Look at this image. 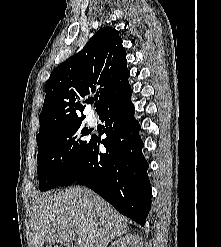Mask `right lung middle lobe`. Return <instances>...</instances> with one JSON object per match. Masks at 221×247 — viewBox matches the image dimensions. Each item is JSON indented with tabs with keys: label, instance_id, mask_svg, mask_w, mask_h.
I'll use <instances>...</instances> for the list:
<instances>
[{
	"label": "right lung middle lobe",
	"instance_id": "1",
	"mask_svg": "<svg viewBox=\"0 0 221 247\" xmlns=\"http://www.w3.org/2000/svg\"><path fill=\"white\" fill-rule=\"evenodd\" d=\"M82 121L66 124L38 137L39 189L47 191L61 184L76 162L83 156L90 139Z\"/></svg>",
	"mask_w": 221,
	"mask_h": 247
}]
</instances>
